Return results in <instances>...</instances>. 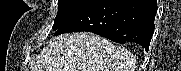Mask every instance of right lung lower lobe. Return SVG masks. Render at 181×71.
<instances>
[{
  "instance_id": "1",
  "label": "right lung lower lobe",
  "mask_w": 181,
  "mask_h": 71,
  "mask_svg": "<svg viewBox=\"0 0 181 71\" xmlns=\"http://www.w3.org/2000/svg\"><path fill=\"white\" fill-rule=\"evenodd\" d=\"M156 12L157 0H94L54 36L87 31L117 43H137L148 51Z\"/></svg>"
}]
</instances>
